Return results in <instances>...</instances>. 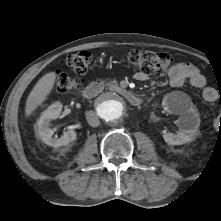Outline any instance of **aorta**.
Instances as JSON below:
<instances>
[{
	"instance_id": "1",
	"label": "aorta",
	"mask_w": 221,
	"mask_h": 221,
	"mask_svg": "<svg viewBox=\"0 0 221 221\" xmlns=\"http://www.w3.org/2000/svg\"><path fill=\"white\" fill-rule=\"evenodd\" d=\"M127 104L125 100L115 94L107 93L97 102L98 116L106 123H117L125 116Z\"/></svg>"
}]
</instances>
